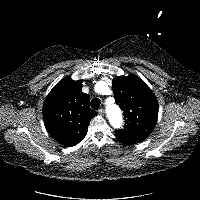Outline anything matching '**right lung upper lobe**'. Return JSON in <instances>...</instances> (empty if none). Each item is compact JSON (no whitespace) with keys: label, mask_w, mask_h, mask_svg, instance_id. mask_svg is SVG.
Masks as SVG:
<instances>
[{"label":"right lung upper lobe","mask_w":200,"mask_h":200,"mask_svg":"<svg viewBox=\"0 0 200 200\" xmlns=\"http://www.w3.org/2000/svg\"><path fill=\"white\" fill-rule=\"evenodd\" d=\"M82 80L62 79L48 94L43 105L47 131L64 146L77 145L87 134L96 112L90 109L89 95L81 90Z\"/></svg>","instance_id":"obj_1"}]
</instances>
